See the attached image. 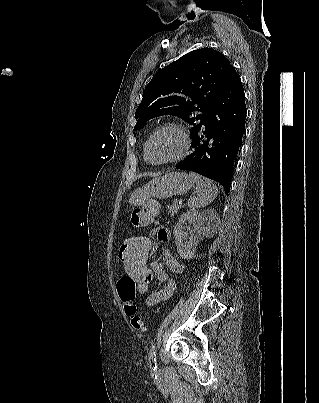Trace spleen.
Segmentation results:
<instances>
[{"instance_id":"1","label":"spleen","mask_w":319,"mask_h":403,"mask_svg":"<svg viewBox=\"0 0 319 403\" xmlns=\"http://www.w3.org/2000/svg\"><path fill=\"white\" fill-rule=\"evenodd\" d=\"M189 176L196 183V195L189 198V208H202L209 205L218 195V188L211 180L197 173L190 172Z\"/></svg>"}]
</instances>
